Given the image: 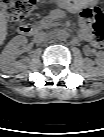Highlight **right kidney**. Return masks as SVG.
Segmentation results:
<instances>
[{
	"instance_id": "obj_1",
	"label": "right kidney",
	"mask_w": 104,
	"mask_h": 137,
	"mask_svg": "<svg viewBox=\"0 0 104 137\" xmlns=\"http://www.w3.org/2000/svg\"><path fill=\"white\" fill-rule=\"evenodd\" d=\"M27 43L25 36L14 37L0 55V69L4 73L13 74L25 69L27 60L14 61V57L20 54V47Z\"/></svg>"
}]
</instances>
